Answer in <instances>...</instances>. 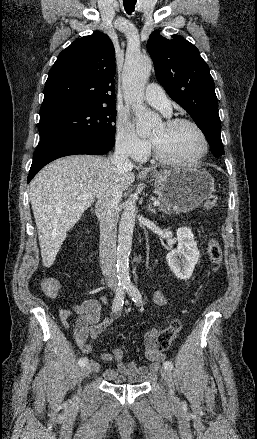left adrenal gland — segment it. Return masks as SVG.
Here are the masks:
<instances>
[{"instance_id": "left-adrenal-gland-1", "label": "left adrenal gland", "mask_w": 257, "mask_h": 439, "mask_svg": "<svg viewBox=\"0 0 257 439\" xmlns=\"http://www.w3.org/2000/svg\"><path fill=\"white\" fill-rule=\"evenodd\" d=\"M147 209H148L149 212H151V213H153V214L156 213V210L152 208L151 204L148 205V208H147Z\"/></svg>"}]
</instances>
